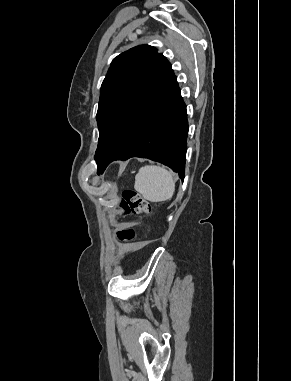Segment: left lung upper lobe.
<instances>
[{
	"label": "left lung upper lobe",
	"mask_w": 291,
	"mask_h": 381,
	"mask_svg": "<svg viewBox=\"0 0 291 381\" xmlns=\"http://www.w3.org/2000/svg\"><path fill=\"white\" fill-rule=\"evenodd\" d=\"M174 77L171 64L149 45L136 46L113 59L101 86L96 115L97 165L121 141L151 98Z\"/></svg>",
	"instance_id": "5c2ea615"
}]
</instances>
